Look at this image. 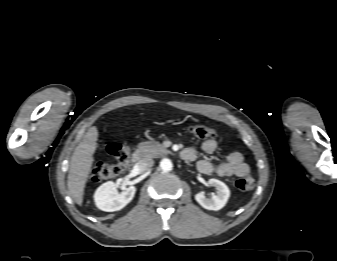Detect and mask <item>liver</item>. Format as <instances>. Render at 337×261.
Here are the masks:
<instances>
[{
	"mask_svg": "<svg viewBox=\"0 0 337 261\" xmlns=\"http://www.w3.org/2000/svg\"><path fill=\"white\" fill-rule=\"evenodd\" d=\"M98 136L96 126L89 128L82 141L75 148L70 161L67 181L68 191L75 203L80 206L83 203L85 185L94 162Z\"/></svg>",
	"mask_w": 337,
	"mask_h": 261,
	"instance_id": "1",
	"label": "liver"
}]
</instances>
